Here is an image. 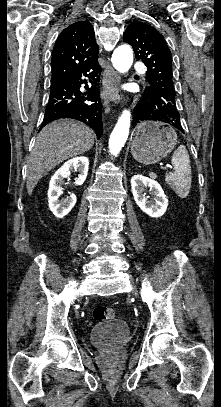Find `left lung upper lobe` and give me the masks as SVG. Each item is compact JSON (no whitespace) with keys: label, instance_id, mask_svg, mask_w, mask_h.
Wrapping results in <instances>:
<instances>
[{"label":"left lung upper lobe","instance_id":"left-lung-upper-lobe-1","mask_svg":"<svg viewBox=\"0 0 221 407\" xmlns=\"http://www.w3.org/2000/svg\"><path fill=\"white\" fill-rule=\"evenodd\" d=\"M123 40L133 47L137 60H142L148 68V86L160 82L174 88L171 52L164 37L154 27L133 22L127 27Z\"/></svg>","mask_w":221,"mask_h":407}]
</instances>
